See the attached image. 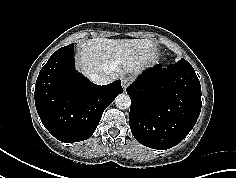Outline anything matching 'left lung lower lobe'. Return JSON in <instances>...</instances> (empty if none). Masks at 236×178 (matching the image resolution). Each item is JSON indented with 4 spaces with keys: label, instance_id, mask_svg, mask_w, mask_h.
I'll use <instances>...</instances> for the list:
<instances>
[{
    "label": "left lung lower lobe",
    "instance_id": "left-lung-lower-lobe-1",
    "mask_svg": "<svg viewBox=\"0 0 236 178\" xmlns=\"http://www.w3.org/2000/svg\"><path fill=\"white\" fill-rule=\"evenodd\" d=\"M131 98L129 124L144 146L164 150L179 144L201 111V86L189 62L156 65L127 88Z\"/></svg>",
    "mask_w": 236,
    "mask_h": 178
}]
</instances>
